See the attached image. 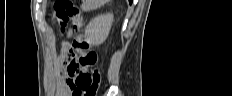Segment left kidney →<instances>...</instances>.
<instances>
[{"mask_svg":"<svg viewBox=\"0 0 232 96\" xmlns=\"http://www.w3.org/2000/svg\"><path fill=\"white\" fill-rule=\"evenodd\" d=\"M113 22V14L107 13L92 19L85 29V40L91 45H100L108 37Z\"/></svg>","mask_w":232,"mask_h":96,"instance_id":"5707ae66","label":"left kidney"}]
</instances>
